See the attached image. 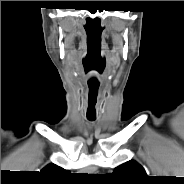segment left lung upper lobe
Segmentation results:
<instances>
[{
  "mask_svg": "<svg viewBox=\"0 0 184 184\" xmlns=\"http://www.w3.org/2000/svg\"><path fill=\"white\" fill-rule=\"evenodd\" d=\"M112 176L119 184H141L147 178L144 168L133 160L116 167Z\"/></svg>",
  "mask_w": 184,
  "mask_h": 184,
  "instance_id": "5c2ea615",
  "label": "left lung upper lobe"
}]
</instances>
